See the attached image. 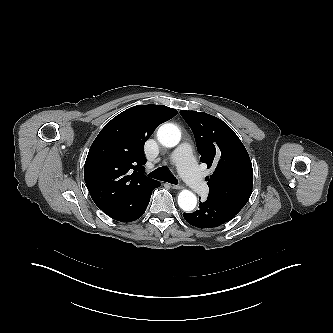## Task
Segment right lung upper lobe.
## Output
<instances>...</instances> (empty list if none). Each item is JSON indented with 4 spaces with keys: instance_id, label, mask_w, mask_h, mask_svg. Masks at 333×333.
<instances>
[{
    "instance_id": "obj_1",
    "label": "right lung upper lobe",
    "mask_w": 333,
    "mask_h": 333,
    "mask_svg": "<svg viewBox=\"0 0 333 333\" xmlns=\"http://www.w3.org/2000/svg\"><path fill=\"white\" fill-rule=\"evenodd\" d=\"M177 111L164 105L131 107L108 122L92 143L84 179L94 203L103 211L124 205L156 180L140 169L146 163L144 143L156 127Z\"/></svg>"
}]
</instances>
